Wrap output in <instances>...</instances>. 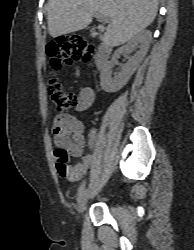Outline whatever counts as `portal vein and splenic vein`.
Segmentation results:
<instances>
[{
  "mask_svg": "<svg viewBox=\"0 0 194 250\" xmlns=\"http://www.w3.org/2000/svg\"><path fill=\"white\" fill-rule=\"evenodd\" d=\"M95 16H96V18L101 19V20H103V21H107V20H108L107 17H105V16H103V15H101V14H98V13H96Z\"/></svg>",
  "mask_w": 194,
  "mask_h": 250,
  "instance_id": "obj_1",
  "label": "portal vein and splenic vein"
}]
</instances>
